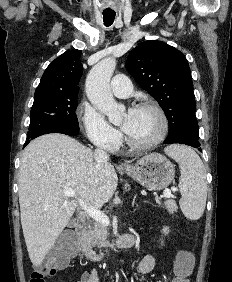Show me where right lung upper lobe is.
Returning <instances> with one entry per match:
<instances>
[{
	"label": "right lung upper lobe",
	"instance_id": "cb5924a9",
	"mask_svg": "<svg viewBox=\"0 0 232 282\" xmlns=\"http://www.w3.org/2000/svg\"><path fill=\"white\" fill-rule=\"evenodd\" d=\"M80 50L67 51L46 68L35 93H77L82 76Z\"/></svg>",
	"mask_w": 232,
	"mask_h": 282
}]
</instances>
